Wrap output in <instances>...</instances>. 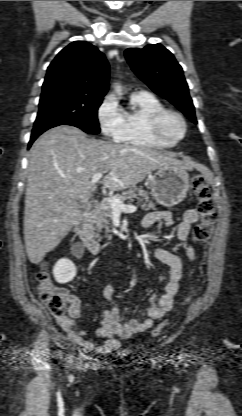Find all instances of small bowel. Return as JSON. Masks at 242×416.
Masks as SVG:
<instances>
[{
    "mask_svg": "<svg viewBox=\"0 0 242 416\" xmlns=\"http://www.w3.org/2000/svg\"><path fill=\"white\" fill-rule=\"evenodd\" d=\"M199 219L196 210H188L182 221L177 224L176 237L185 244V255L189 261L195 256L193 247L189 244L190 231L193 224ZM170 227L175 224V219L170 212L154 211L148 213L141 222L145 230L152 229L155 225ZM155 256L170 268V278L161 295L153 293L150 296V305L146 308V317L142 321L130 319L122 321L120 309L114 302L115 288L112 284L103 287V297L111 303L103 313L101 327L96 331V340H104L103 344H98L94 340L87 338V332L77 327L75 319L81 314V305L77 298H70L69 315L57 317L56 321L61 329L66 333L69 341L76 346L89 352L100 354L112 353L119 347L120 339H128L132 335L149 330L154 320L162 318L166 312L170 311L175 302L179 290V284L183 273V261L175 254L157 248Z\"/></svg>",
    "mask_w": 242,
    "mask_h": 416,
    "instance_id": "c3829d8e",
    "label": "small bowel"
}]
</instances>
